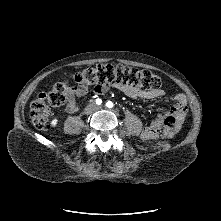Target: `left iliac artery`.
Segmentation results:
<instances>
[{
	"mask_svg": "<svg viewBox=\"0 0 221 221\" xmlns=\"http://www.w3.org/2000/svg\"><path fill=\"white\" fill-rule=\"evenodd\" d=\"M106 106L109 107V108H112L113 107V103L111 101H108L106 103Z\"/></svg>",
	"mask_w": 221,
	"mask_h": 221,
	"instance_id": "44dca946",
	"label": "left iliac artery"
}]
</instances>
